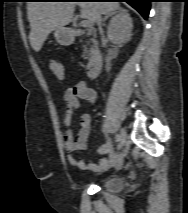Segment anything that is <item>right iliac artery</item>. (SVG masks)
<instances>
[{"instance_id": "right-iliac-artery-1", "label": "right iliac artery", "mask_w": 188, "mask_h": 213, "mask_svg": "<svg viewBox=\"0 0 188 213\" xmlns=\"http://www.w3.org/2000/svg\"><path fill=\"white\" fill-rule=\"evenodd\" d=\"M115 141L119 142V135L118 134L115 135Z\"/></svg>"}]
</instances>
